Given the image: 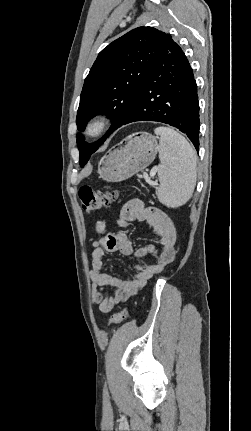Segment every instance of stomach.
I'll return each instance as SVG.
<instances>
[{
	"mask_svg": "<svg viewBox=\"0 0 251 431\" xmlns=\"http://www.w3.org/2000/svg\"><path fill=\"white\" fill-rule=\"evenodd\" d=\"M158 147L155 137L146 132L127 137L100 160V178L108 182H120L132 177L153 162Z\"/></svg>",
	"mask_w": 251,
	"mask_h": 431,
	"instance_id": "obj_1",
	"label": "stomach"
}]
</instances>
